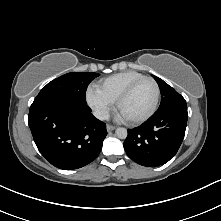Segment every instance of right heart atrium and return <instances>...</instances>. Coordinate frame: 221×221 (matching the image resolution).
<instances>
[{
  "mask_svg": "<svg viewBox=\"0 0 221 221\" xmlns=\"http://www.w3.org/2000/svg\"><path fill=\"white\" fill-rule=\"evenodd\" d=\"M86 101L100 119H105L113 107V103L95 88L87 89Z\"/></svg>",
  "mask_w": 221,
  "mask_h": 221,
  "instance_id": "1",
  "label": "right heart atrium"
}]
</instances>
